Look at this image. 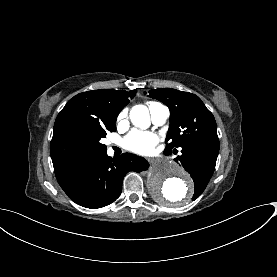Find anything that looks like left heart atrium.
Listing matches in <instances>:
<instances>
[{
    "instance_id": "left-heart-atrium-1",
    "label": "left heart atrium",
    "mask_w": 277,
    "mask_h": 277,
    "mask_svg": "<svg viewBox=\"0 0 277 277\" xmlns=\"http://www.w3.org/2000/svg\"><path fill=\"white\" fill-rule=\"evenodd\" d=\"M156 136L152 132L133 130L124 139L123 146L138 154H150L153 152Z\"/></svg>"
}]
</instances>
